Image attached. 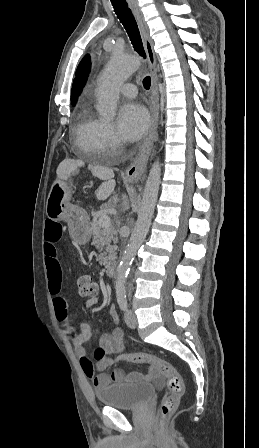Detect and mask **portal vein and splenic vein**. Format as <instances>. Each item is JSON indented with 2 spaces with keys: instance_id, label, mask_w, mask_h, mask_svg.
Here are the masks:
<instances>
[{
  "instance_id": "portal-vein-and-splenic-vein-1",
  "label": "portal vein and splenic vein",
  "mask_w": 259,
  "mask_h": 448,
  "mask_svg": "<svg viewBox=\"0 0 259 448\" xmlns=\"http://www.w3.org/2000/svg\"><path fill=\"white\" fill-rule=\"evenodd\" d=\"M98 224L101 228H110L109 216H107V214H102V216H99Z\"/></svg>"
}]
</instances>
